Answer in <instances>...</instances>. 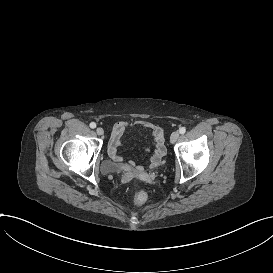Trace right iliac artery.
Segmentation results:
<instances>
[{"label": "right iliac artery", "mask_w": 273, "mask_h": 273, "mask_svg": "<svg viewBox=\"0 0 273 273\" xmlns=\"http://www.w3.org/2000/svg\"><path fill=\"white\" fill-rule=\"evenodd\" d=\"M90 127L93 129V128L96 127V124H95L94 122H91V123H90Z\"/></svg>", "instance_id": "obj_1"}]
</instances>
